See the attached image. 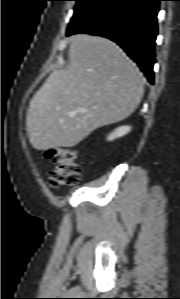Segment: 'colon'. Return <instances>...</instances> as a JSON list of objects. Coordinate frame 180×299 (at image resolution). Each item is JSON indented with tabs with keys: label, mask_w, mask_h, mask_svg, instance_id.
<instances>
[{
	"label": "colon",
	"mask_w": 180,
	"mask_h": 299,
	"mask_svg": "<svg viewBox=\"0 0 180 299\" xmlns=\"http://www.w3.org/2000/svg\"><path fill=\"white\" fill-rule=\"evenodd\" d=\"M46 157L53 164L47 177V184L50 188L71 187L80 182L82 168L72 148L49 149L46 151Z\"/></svg>",
	"instance_id": "obj_1"
}]
</instances>
